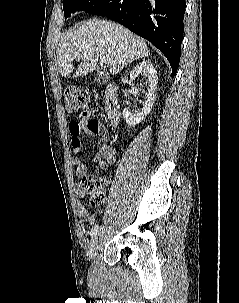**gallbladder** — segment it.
<instances>
[{
  "mask_svg": "<svg viewBox=\"0 0 239 303\" xmlns=\"http://www.w3.org/2000/svg\"><path fill=\"white\" fill-rule=\"evenodd\" d=\"M95 79L99 82H105L106 81V76L102 75L101 72L98 71Z\"/></svg>",
  "mask_w": 239,
  "mask_h": 303,
  "instance_id": "bac80fb5",
  "label": "gallbladder"
}]
</instances>
